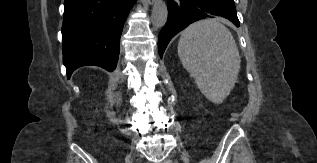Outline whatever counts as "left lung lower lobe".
Returning a JSON list of instances; mask_svg holds the SVG:
<instances>
[{
	"label": "left lung lower lobe",
	"instance_id": "left-lung-lower-lobe-1",
	"mask_svg": "<svg viewBox=\"0 0 317 163\" xmlns=\"http://www.w3.org/2000/svg\"><path fill=\"white\" fill-rule=\"evenodd\" d=\"M167 5V23L158 40L161 58L172 37L197 20L224 17L236 27L240 25L233 0H168Z\"/></svg>",
	"mask_w": 317,
	"mask_h": 163
}]
</instances>
